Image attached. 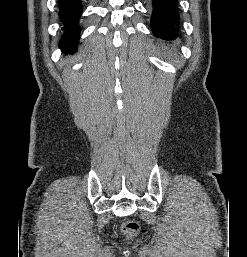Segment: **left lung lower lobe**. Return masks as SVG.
Returning a JSON list of instances; mask_svg holds the SVG:
<instances>
[{
  "mask_svg": "<svg viewBox=\"0 0 247 257\" xmlns=\"http://www.w3.org/2000/svg\"><path fill=\"white\" fill-rule=\"evenodd\" d=\"M178 24L177 0H153L151 27L156 37L167 41L176 39Z\"/></svg>",
  "mask_w": 247,
  "mask_h": 257,
  "instance_id": "left-lung-lower-lobe-1",
  "label": "left lung lower lobe"
}]
</instances>
